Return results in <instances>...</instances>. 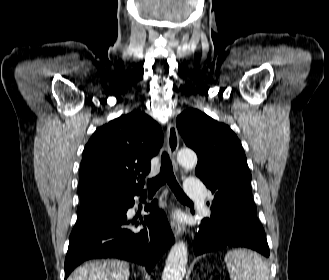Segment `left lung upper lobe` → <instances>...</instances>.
<instances>
[{
    "mask_svg": "<svg viewBox=\"0 0 329 280\" xmlns=\"http://www.w3.org/2000/svg\"><path fill=\"white\" fill-rule=\"evenodd\" d=\"M176 125L186 145L198 155L196 175L215 193L212 206L215 201L249 193L251 173L246 156L229 126L197 109L182 112Z\"/></svg>",
    "mask_w": 329,
    "mask_h": 280,
    "instance_id": "5c2ea615",
    "label": "left lung upper lobe"
}]
</instances>
